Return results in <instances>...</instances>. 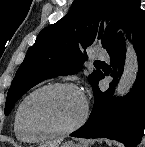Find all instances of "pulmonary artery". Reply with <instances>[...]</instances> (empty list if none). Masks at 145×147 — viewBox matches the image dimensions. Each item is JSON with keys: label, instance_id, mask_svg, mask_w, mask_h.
<instances>
[{"label": "pulmonary artery", "instance_id": "obj_1", "mask_svg": "<svg viewBox=\"0 0 145 147\" xmlns=\"http://www.w3.org/2000/svg\"><path fill=\"white\" fill-rule=\"evenodd\" d=\"M94 55L97 59H107L108 58L107 52H105L103 50H96L94 52Z\"/></svg>", "mask_w": 145, "mask_h": 147}]
</instances>
